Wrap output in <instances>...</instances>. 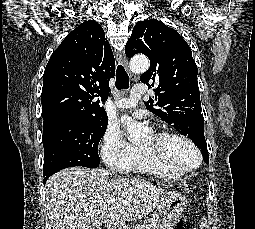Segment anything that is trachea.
Here are the masks:
<instances>
[{"instance_id":"3493384b","label":"trachea","mask_w":255,"mask_h":229,"mask_svg":"<svg viewBox=\"0 0 255 229\" xmlns=\"http://www.w3.org/2000/svg\"><path fill=\"white\" fill-rule=\"evenodd\" d=\"M115 86L117 89H127L129 87V77L122 65H118L117 67Z\"/></svg>"}]
</instances>
